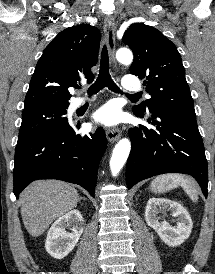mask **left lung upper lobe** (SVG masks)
I'll use <instances>...</instances> for the list:
<instances>
[{
    "label": "left lung upper lobe",
    "mask_w": 215,
    "mask_h": 274,
    "mask_svg": "<svg viewBox=\"0 0 215 274\" xmlns=\"http://www.w3.org/2000/svg\"><path fill=\"white\" fill-rule=\"evenodd\" d=\"M123 43L134 53L131 74L144 80L151 98L134 110L169 109L196 116L185 69L176 46L159 30L142 23L132 24Z\"/></svg>",
    "instance_id": "5c2ea615"
}]
</instances>
